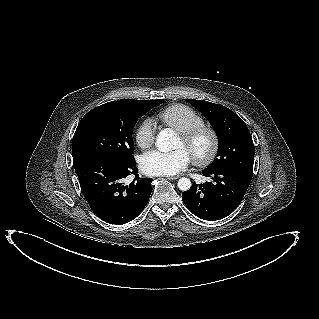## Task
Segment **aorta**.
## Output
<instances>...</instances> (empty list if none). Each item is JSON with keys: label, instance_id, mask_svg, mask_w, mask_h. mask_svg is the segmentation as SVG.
Returning <instances> with one entry per match:
<instances>
[{"label": "aorta", "instance_id": "obj_1", "mask_svg": "<svg viewBox=\"0 0 319 319\" xmlns=\"http://www.w3.org/2000/svg\"><path fill=\"white\" fill-rule=\"evenodd\" d=\"M177 139L173 130L166 128L162 130L156 139V146L159 151L169 152L176 145ZM191 187V181L188 178L182 177L178 180V188L182 191H187Z\"/></svg>", "mask_w": 319, "mask_h": 319}]
</instances>
